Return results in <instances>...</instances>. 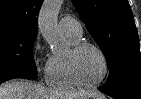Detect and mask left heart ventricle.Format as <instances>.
<instances>
[{"instance_id": "b2bd125f", "label": "left heart ventricle", "mask_w": 141, "mask_h": 99, "mask_svg": "<svg viewBox=\"0 0 141 99\" xmlns=\"http://www.w3.org/2000/svg\"><path fill=\"white\" fill-rule=\"evenodd\" d=\"M78 72L85 82H96L104 72V64L100 54L93 48H85L77 59Z\"/></svg>"}]
</instances>
